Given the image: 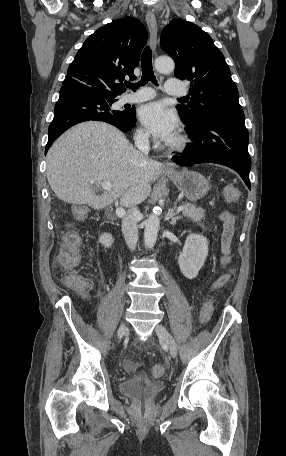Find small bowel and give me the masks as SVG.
Returning a JSON list of instances; mask_svg holds the SVG:
<instances>
[{
    "label": "small bowel",
    "mask_w": 286,
    "mask_h": 456,
    "mask_svg": "<svg viewBox=\"0 0 286 456\" xmlns=\"http://www.w3.org/2000/svg\"><path fill=\"white\" fill-rule=\"evenodd\" d=\"M216 218L222 226V237H221V258L220 264L225 267L231 262V240L234 233V217L227 211H220ZM230 278L229 274L222 275L215 283L216 286L224 284ZM78 297L84 301L88 300V293L86 291H78Z\"/></svg>",
    "instance_id": "c3829d8e"
}]
</instances>
